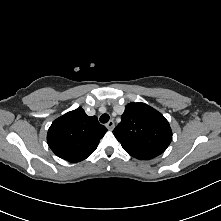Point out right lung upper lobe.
Here are the masks:
<instances>
[{
	"label": "right lung upper lobe",
	"mask_w": 221,
	"mask_h": 221,
	"mask_svg": "<svg viewBox=\"0 0 221 221\" xmlns=\"http://www.w3.org/2000/svg\"><path fill=\"white\" fill-rule=\"evenodd\" d=\"M107 129L96 116L77 108L54 120L47 133L51 150L60 158L76 163L89 157Z\"/></svg>",
	"instance_id": "obj_1"
}]
</instances>
